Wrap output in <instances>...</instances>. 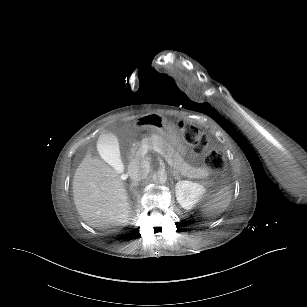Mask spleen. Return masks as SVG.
Returning <instances> with one entry per match:
<instances>
[{
	"label": "spleen",
	"instance_id": "1",
	"mask_svg": "<svg viewBox=\"0 0 307 307\" xmlns=\"http://www.w3.org/2000/svg\"><path fill=\"white\" fill-rule=\"evenodd\" d=\"M233 199L231 187L224 184L220 187L219 193L210 202L203 205V212L209 217H216L229 207V202Z\"/></svg>",
	"mask_w": 307,
	"mask_h": 307
}]
</instances>
